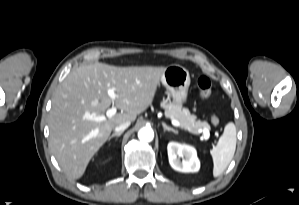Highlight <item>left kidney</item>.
Instances as JSON below:
<instances>
[{"instance_id": "1", "label": "left kidney", "mask_w": 299, "mask_h": 205, "mask_svg": "<svg viewBox=\"0 0 299 205\" xmlns=\"http://www.w3.org/2000/svg\"><path fill=\"white\" fill-rule=\"evenodd\" d=\"M171 167L179 172H197L200 162L194 147L177 142H170L167 146ZM182 158V161H180Z\"/></svg>"}]
</instances>
